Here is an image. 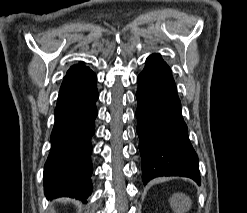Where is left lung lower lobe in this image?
<instances>
[{"label":"left lung lower lobe","instance_id":"1","mask_svg":"<svg viewBox=\"0 0 247 213\" xmlns=\"http://www.w3.org/2000/svg\"><path fill=\"white\" fill-rule=\"evenodd\" d=\"M137 81V133L144 185L158 176L189 177L200 185L198 157L188 138L169 66L159 54H153Z\"/></svg>","mask_w":247,"mask_h":213}]
</instances>
